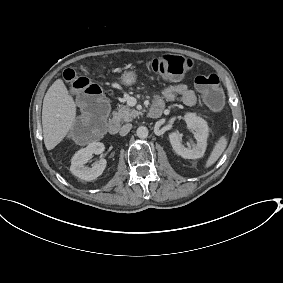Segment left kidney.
I'll list each match as a JSON object with an SVG mask.
<instances>
[{"label": "left kidney", "instance_id": "5707ae66", "mask_svg": "<svg viewBox=\"0 0 283 283\" xmlns=\"http://www.w3.org/2000/svg\"><path fill=\"white\" fill-rule=\"evenodd\" d=\"M185 120L186 127L188 131L193 134L196 144H189V148L187 149L184 145H182V140L178 130L170 132L168 134V140L178 156L184 159L201 158L206 149V138L208 135L207 123L203 119L196 117L195 114L191 113L185 116Z\"/></svg>", "mask_w": 283, "mask_h": 283}]
</instances>
